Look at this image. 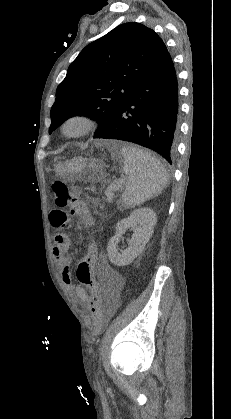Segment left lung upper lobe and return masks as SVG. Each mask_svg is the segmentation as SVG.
<instances>
[{
    "instance_id": "left-lung-upper-lobe-1",
    "label": "left lung upper lobe",
    "mask_w": 231,
    "mask_h": 419,
    "mask_svg": "<svg viewBox=\"0 0 231 419\" xmlns=\"http://www.w3.org/2000/svg\"><path fill=\"white\" fill-rule=\"evenodd\" d=\"M167 53L150 28L130 22L87 45L56 90L49 134L76 115L97 119L105 129L134 85Z\"/></svg>"
}]
</instances>
